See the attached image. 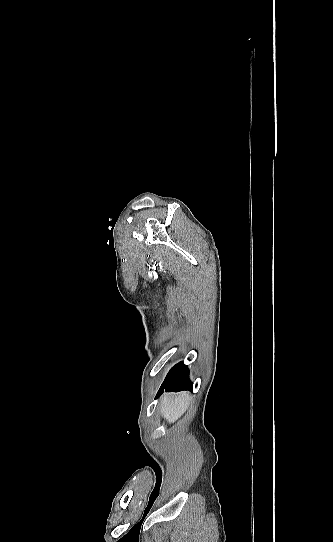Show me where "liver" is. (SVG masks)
<instances>
[{
  "instance_id": "liver-1",
  "label": "liver",
  "mask_w": 333,
  "mask_h": 542,
  "mask_svg": "<svg viewBox=\"0 0 333 542\" xmlns=\"http://www.w3.org/2000/svg\"><path fill=\"white\" fill-rule=\"evenodd\" d=\"M188 402L189 396L186 392H183V394H180V396H177L174 400H171L169 396H164L160 406L161 416H163L169 424H174V422H176L178 418H181L184 412H186L189 406Z\"/></svg>"
}]
</instances>
